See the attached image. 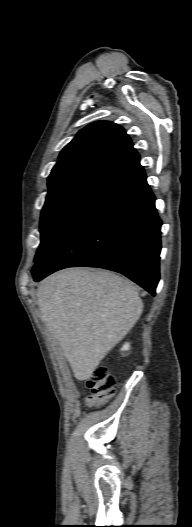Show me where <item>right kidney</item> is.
I'll use <instances>...</instances> for the list:
<instances>
[{
	"label": "right kidney",
	"mask_w": 192,
	"mask_h": 527,
	"mask_svg": "<svg viewBox=\"0 0 192 527\" xmlns=\"http://www.w3.org/2000/svg\"><path fill=\"white\" fill-rule=\"evenodd\" d=\"M129 349V344H125L122 348V350H128Z\"/></svg>",
	"instance_id": "ca27d5eb"
}]
</instances>
